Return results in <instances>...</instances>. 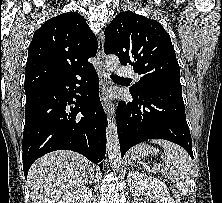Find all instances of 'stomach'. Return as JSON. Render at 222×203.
I'll use <instances>...</instances> for the list:
<instances>
[{
    "mask_svg": "<svg viewBox=\"0 0 222 203\" xmlns=\"http://www.w3.org/2000/svg\"><path fill=\"white\" fill-rule=\"evenodd\" d=\"M156 148L148 145V144H139L132 148L131 150V158L134 160H141L150 154H156Z\"/></svg>",
    "mask_w": 222,
    "mask_h": 203,
    "instance_id": "0dacf381",
    "label": "stomach"
}]
</instances>
